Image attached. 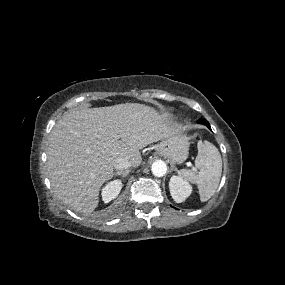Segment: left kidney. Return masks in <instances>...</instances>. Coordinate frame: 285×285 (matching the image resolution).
Masks as SVG:
<instances>
[{"label": "left kidney", "instance_id": "5707ae66", "mask_svg": "<svg viewBox=\"0 0 285 285\" xmlns=\"http://www.w3.org/2000/svg\"><path fill=\"white\" fill-rule=\"evenodd\" d=\"M169 189L175 202L181 203L192 193V186L179 176L173 175L169 182Z\"/></svg>", "mask_w": 285, "mask_h": 285}]
</instances>
